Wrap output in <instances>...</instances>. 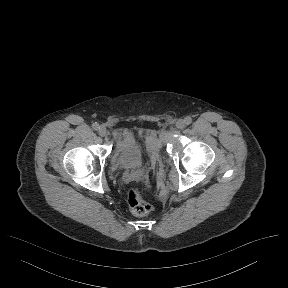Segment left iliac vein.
<instances>
[{
    "instance_id": "1",
    "label": "left iliac vein",
    "mask_w": 288,
    "mask_h": 288,
    "mask_svg": "<svg viewBox=\"0 0 288 288\" xmlns=\"http://www.w3.org/2000/svg\"><path fill=\"white\" fill-rule=\"evenodd\" d=\"M176 127H177L178 129H183V128L185 127V122H184V120H182V119L177 120V122H176Z\"/></svg>"
}]
</instances>
